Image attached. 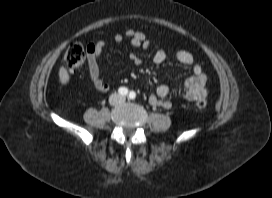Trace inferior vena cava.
<instances>
[{
    "instance_id": "inferior-vena-cava-1",
    "label": "inferior vena cava",
    "mask_w": 272,
    "mask_h": 198,
    "mask_svg": "<svg viewBox=\"0 0 272 198\" xmlns=\"http://www.w3.org/2000/svg\"><path fill=\"white\" fill-rule=\"evenodd\" d=\"M125 101V97H123V96H121V95H119V94H112L111 96H110V99H109V102H110V104H112V105H116V104H120V103H122V102H124Z\"/></svg>"
}]
</instances>
